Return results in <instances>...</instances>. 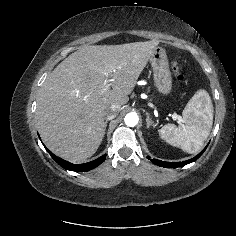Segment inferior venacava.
Returning <instances> with one entry per match:
<instances>
[{
	"instance_id": "1",
	"label": "inferior vena cava",
	"mask_w": 236,
	"mask_h": 236,
	"mask_svg": "<svg viewBox=\"0 0 236 236\" xmlns=\"http://www.w3.org/2000/svg\"><path fill=\"white\" fill-rule=\"evenodd\" d=\"M119 110H120V107L118 105H111L105 110V118L107 120L114 119L117 116Z\"/></svg>"
}]
</instances>
